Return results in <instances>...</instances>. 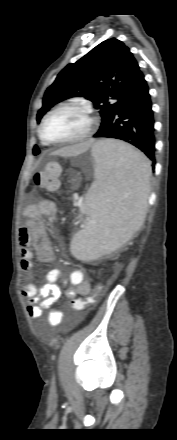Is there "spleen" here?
<instances>
[{
    "label": "spleen",
    "instance_id": "1",
    "mask_svg": "<svg viewBox=\"0 0 177 440\" xmlns=\"http://www.w3.org/2000/svg\"><path fill=\"white\" fill-rule=\"evenodd\" d=\"M92 154L95 181L81 212L89 222L77 232L70 250L80 260H93L120 248L143 225L151 166L145 155L129 145L103 140Z\"/></svg>",
    "mask_w": 177,
    "mask_h": 440
}]
</instances>
